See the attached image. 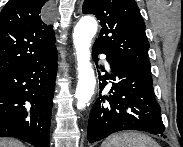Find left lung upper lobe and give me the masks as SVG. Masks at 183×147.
Masks as SVG:
<instances>
[{
    "instance_id": "obj_1",
    "label": "left lung upper lobe",
    "mask_w": 183,
    "mask_h": 147,
    "mask_svg": "<svg viewBox=\"0 0 183 147\" xmlns=\"http://www.w3.org/2000/svg\"><path fill=\"white\" fill-rule=\"evenodd\" d=\"M82 11L95 15L102 26L94 46L150 72L149 42L135 0H85Z\"/></svg>"
}]
</instances>
